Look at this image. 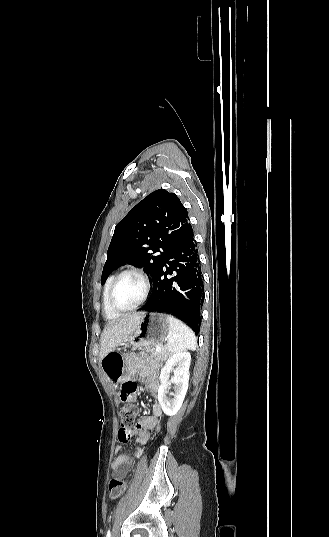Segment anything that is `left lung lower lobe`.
<instances>
[{
    "instance_id": "0a47b994",
    "label": "left lung lower lobe",
    "mask_w": 329,
    "mask_h": 537,
    "mask_svg": "<svg viewBox=\"0 0 329 537\" xmlns=\"http://www.w3.org/2000/svg\"><path fill=\"white\" fill-rule=\"evenodd\" d=\"M152 282L151 295L141 310L173 314L198 333L203 278L191 225L162 260Z\"/></svg>"
}]
</instances>
